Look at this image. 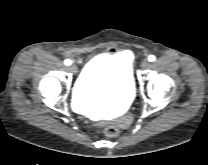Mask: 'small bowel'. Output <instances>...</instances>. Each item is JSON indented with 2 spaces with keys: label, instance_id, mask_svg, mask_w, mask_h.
Masks as SVG:
<instances>
[{
  "label": "small bowel",
  "instance_id": "1",
  "mask_svg": "<svg viewBox=\"0 0 208 165\" xmlns=\"http://www.w3.org/2000/svg\"><path fill=\"white\" fill-rule=\"evenodd\" d=\"M107 55H120L124 63H129L132 60V54L125 48H109L107 51Z\"/></svg>",
  "mask_w": 208,
  "mask_h": 165
}]
</instances>
